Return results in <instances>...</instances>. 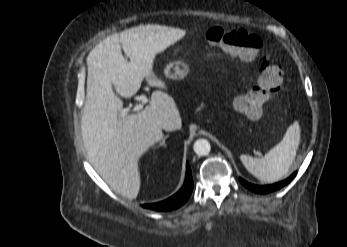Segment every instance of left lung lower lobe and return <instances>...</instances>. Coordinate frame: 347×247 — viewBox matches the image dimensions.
Returning <instances> with one entry per match:
<instances>
[{"mask_svg":"<svg viewBox=\"0 0 347 247\" xmlns=\"http://www.w3.org/2000/svg\"><path fill=\"white\" fill-rule=\"evenodd\" d=\"M296 175V172L293 173L289 178H287L284 181H281L279 183L276 184H272V185H266V186H258V185H253L250 184L246 181H244L243 179L240 178L241 183L247 187L248 189L256 192V193H261V194H266L272 191H276L280 188H282L283 186L287 185Z\"/></svg>","mask_w":347,"mask_h":247,"instance_id":"0a47b994","label":"left lung lower lobe"}]
</instances>
